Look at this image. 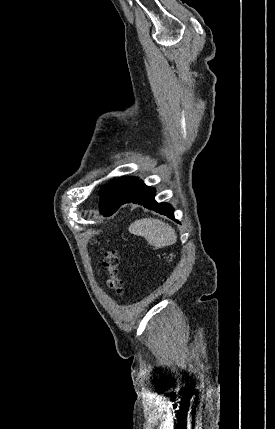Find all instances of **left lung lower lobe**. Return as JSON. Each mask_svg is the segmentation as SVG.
<instances>
[{
	"label": "left lung lower lobe",
	"instance_id": "1",
	"mask_svg": "<svg viewBox=\"0 0 275 429\" xmlns=\"http://www.w3.org/2000/svg\"><path fill=\"white\" fill-rule=\"evenodd\" d=\"M154 195L155 190L153 188L145 185L142 180H137L128 190L121 204L129 202L137 203L175 220L174 209L167 203H157L154 199ZM175 221L178 222L177 220Z\"/></svg>",
	"mask_w": 275,
	"mask_h": 429
}]
</instances>
